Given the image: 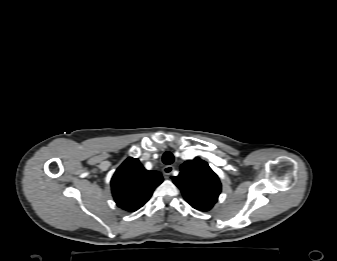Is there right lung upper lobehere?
Returning <instances> with one entry per match:
<instances>
[{"mask_svg": "<svg viewBox=\"0 0 337 261\" xmlns=\"http://www.w3.org/2000/svg\"><path fill=\"white\" fill-rule=\"evenodd\" d=\"M163 182L161 173L146 170L138 159L129 157L111 179L113 198L120 208L133 212L142 207Z\"/></svg>", "mask_w": 337, "mask_h": 261, "instance_id": "cb5924a9", "label": "right lung upper lobe"}]
</instances>
